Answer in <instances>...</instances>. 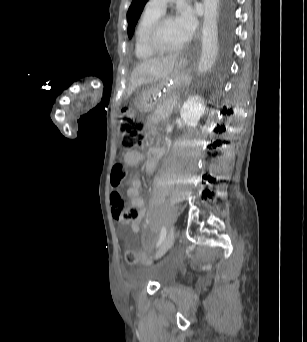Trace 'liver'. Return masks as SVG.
<instances>
[{
	"label": "liver",
	"mask_w": 307,
	"mask_h": 342,
	"mask_svg": "<svg viewBox=\"0 0 307 342\" xmlns=\"http://www.w3.org/2000/svg\"><path fill=\"white\" fill-rule=\"evenodd\" d=\"M177 58L178 54H174V56H167V58H150V60H144L138 64L131 74L126 90L128 98L139 86L156 84L162 78H166L169 72H172Z\"/></svg>",
	"instance_id": "1"
}]
</instances>
